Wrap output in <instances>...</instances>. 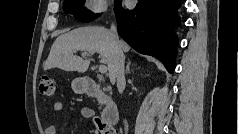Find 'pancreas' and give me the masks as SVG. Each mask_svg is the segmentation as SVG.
Returning a JSON list of instances; mask_svg holds the SVG:
<instances>
[{
	"mask_svg": "<svg viewBox=\"0 0 239 134\" xmlns=\"http://www.w3.org/2000/svg\"><path fill=\"white\" fill-rule=\"evenodd\" d=\"M99 104H102V101H101V100H99Z\"/></svg>",
	"mask_w": 239,
	"mask_h": 134,
	"instance_id": "obj_1",
	"label": "pancreas"
}]
</instances>
